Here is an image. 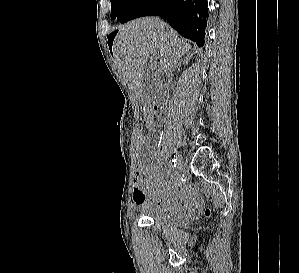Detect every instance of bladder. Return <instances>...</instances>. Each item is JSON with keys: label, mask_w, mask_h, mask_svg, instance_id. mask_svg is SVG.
<instances>
[{"label": "bladder", "mask_w": 299, "mask_h": 273, "mask_svg": "<svg viewBox=\"0 0 299 273\" xmlns=\"http://www.w3.org/2000/svg\"><path fill=\"white\" fill-rule=\"evenodd\" d=\"M145 217L151 220L154 224L163 228H171L178 225L183 217L176 213H161L157 211H149L145 213Z\"/></svg>", "instance_id": "obj_1"}]
</instances>
